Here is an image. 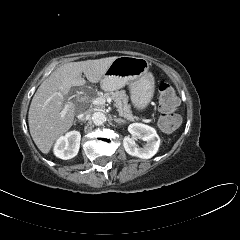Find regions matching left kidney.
Masks as SVG:
<instances>
[{"instance_id":"obj_1","label":"left kidney","mask_w":240,"mask_h":240,"mask_svg":"<svg viewBox=\"0 0 240 240\" xmlns=\"http://www.w3.org/2000/svg\"><path fill=\"white\" fill-rule=\"evenodd\" d=\"M128 131L131 137H124L123 146L129 155L149 159L157 153L160 146V139L153 127L142 123H133L129 125ZM137 138L146 142L143 147H139L136 144L135 140Z\"/></svg>"}]
</instances>
